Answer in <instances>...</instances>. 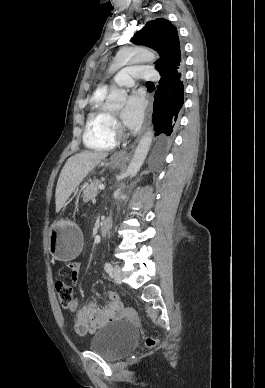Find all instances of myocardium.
Wrapping results in <instances>:
<instances>
[{
    "instance_id": "f54148a6",
    "label": "myocardium",
    "mask_w": 265,
    "mask_h": 388,
    "mask_svg": "<svg viewBox=\"0 0 265 388\" xmlns=\"http://www.w3.org/2000/svg\"><path fill=\"white\" fill-rule=\"evenodd\" d=\"M114 85L106 86V89H100L98 91H108V93H109V91H111V89L114 87Z\"/></svg>"
}]
</instances>
